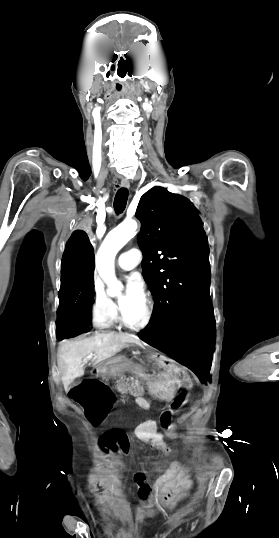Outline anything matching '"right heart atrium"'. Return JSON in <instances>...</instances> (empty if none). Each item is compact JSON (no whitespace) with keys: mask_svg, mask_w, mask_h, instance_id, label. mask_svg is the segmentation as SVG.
<instances>
[{"mask_svg":"<svg viewBox=\"0 0 279 538\" xmlns=\"http://www.w3.org/2000/svg\"><path fill=\"white\" fill-rule=\"evenodd\" d=\"M93 292V323L98 328L108 326L118 315L117 302L106 293L96 276L93 281Z\"/></svg>","mask_w":279,"mask_h":538,"instance_id":"obj_1","label":"right heart atrium"}]
</instances>
